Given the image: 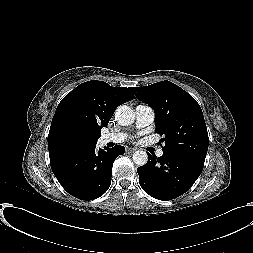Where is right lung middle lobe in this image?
<instances>
[{
  "label": "right lung middle lobe",
  "mask_w": 253,
  "mask_h": 253,
  "mask_svg": "<svg viewBox=\"0 0 253 253\" xmlns=\"http://www.w3.org/2000/svg\"><path fill=\"white\" fill-rule=\"evenodd\" d=\"M67 137L78 145L92 146L97 143V139L100 136L93 137L90 134H88L86 131L79 128H75V129H71L68 132Z\"/></svg>",
  "instance_id": "obj_1"
}]
</instances>
